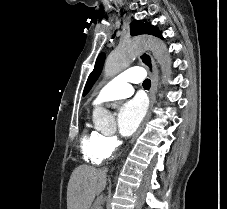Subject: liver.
I'll use <instances>...</instances> for the list:
<instances>
[{"mask_svg": "<svg viewBox=\"0 0 227 209\" xmlns=\"http://www.w3.org/2000/svg\"><path fill=\"white\" fill-rule=\"evenodd\" d=\"M97 169L80 165L73 171L67 187V209H89L96 193ZM88 197V203L85 199Z\"/></svg>", "mask_w": 227, "mask_h": 209, "instance_id": "liver-1", "label": "liver"}]
</instances>
